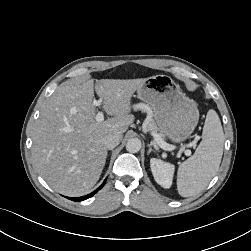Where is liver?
<instances>
[{
    "mask_svg": "<svg viewBox=\"0 0 251 251\" xmlns=\"http://www.w3.org/2000/svg\"><path fill=\"white\" fill-rule=\"evenodd\" d=\"M144 79L69 80L42 106L32 131V155L41 176L67 196L89 193L107 157L105 137L127 131L134 121L131 98ZM94 91L112 118L96 121Z\"/></svg>",
    "mask_w": 251,
    "mask_h": 251,
    "instance_id": "1",
    "label": "liver"
}]
</instances>
